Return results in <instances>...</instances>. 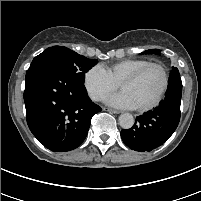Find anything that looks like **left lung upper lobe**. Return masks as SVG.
Here are the masks:
<instances>
[{"instance_id": "1", "label": "left lung upper lobe", "mask_w": 201, "mask_h": 201, "mask_svg": "<svg viewBox=\"0 0 201 201\" xmlns=\"http://www.w3.org/2000/svg\"><path fill=\"white\" fill-rule=\"evenodd\" d=\"M141 54H160V50L159 49H151V50H147ZM174 75H180L179 71L176 67H172L171 73H170V77L174 76Z\"/></svg>"}]
</instances>
